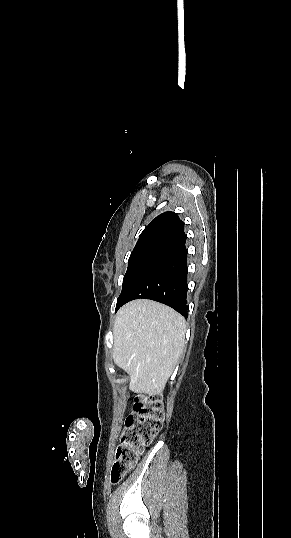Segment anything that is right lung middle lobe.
Listing matches in <instances>:
<instances>
[{
	"instance_id": "1",
	"label": "right lung middle lobe",
	"mask_w": 291,
	"mask_h": 538,
	"mask_svg": "<svg viewBox=\"0 0 291 538\" xmlns=\"http://www.w3.org/2000/svg\"><path fill=\"white\" fill-rule=\"evenodd\" d=\"M171 251L167 248H147L131 253L122 292L117 299L116 311L128 302L131 293L142 279Z\"/></svg>"
}]
</instances>
